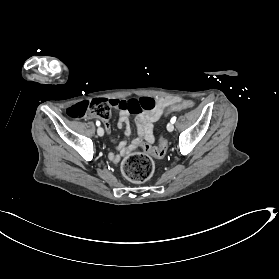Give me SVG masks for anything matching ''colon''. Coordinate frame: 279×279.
<instances>
[{"label": "colon", "mask_w": 279, "mask_h": 279, "mask_svg": "<svg viewBox=\"0 0 279 279\" xmlns=\"http://www.w3.org/2000/svg\"><path fill=\"white\" fill-rule=\"evenodd\" d=\"M156 106V100L151 97H140L129 100H107L93 99L83 101L71 106L67 114L72 118H82L92 115L103 120H107L112 109H119L133 114L142 111L153 110ZM194 103L189 100L175 103L169 107V111H180L191 109ZM167 141L164 137L158 139L154 147L145 146L144 151H134L127 155L122 163L121 170L123 175L130 181L141 183L147 181L154 172L153 158H162L167 152Z\"/></svg>", "instance_id": "1"}]
</instances>
